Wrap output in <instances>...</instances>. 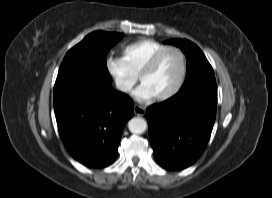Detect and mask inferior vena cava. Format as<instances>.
Masks as SVG:
<instances>
[{
  "instance_id": "inferior-vena-cava-1",
  "label": "inferior vena cava",
  "mask_w": 272,
  "mask_h": 198,
  "mask_svg": "<svg viewBox=\"0 0 272 198\" xmlns=\"http://www.w3.org/2000/svg\"><path fill=\"white\" fill-rule=\"evenodd\" d=\"M116 87L118 90L123 91V92H128L130 91L131 87L127 83L124 82H116Z\"/></svg>"
}]
</instances>
